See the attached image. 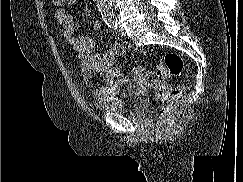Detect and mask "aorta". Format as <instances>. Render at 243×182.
Returning <instances> with one entry per match:
<instances>
[{"label":"aorta","instance_id":"1","mask_svg":"<svg viewBox=\"0 0 243 182\" xmlns=\"http://www.w3.org/2000/svg\"><path fill=\"white\" fill-rule=\"evenodd\" d=\"M98 10L105 21H113L114 13L112 9V0H96Z\"/></svg>","mask_w":243,"mask_h":182}]
</instances>
